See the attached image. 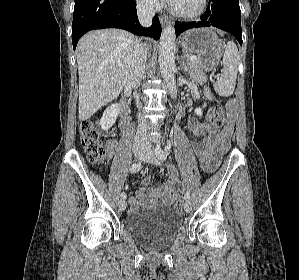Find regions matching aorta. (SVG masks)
I'll return each instance as SVG.
<instances>
[{"label": "aorta", "instance_id": "aorta-1", "mask_svg": "<svg viewBox=\"0 0 299 280\" xmlns=\"http://www.w3.org/2000/svg\"><path fill=\"white\" fill-rule=\"evenodd\" d=\"M175 29L173 26H167L161 34L159 43V67L161 75L166 82L171 96L176 98L175 70Z\"/></svg>", "mask_w": 299, "mask_h": 280}]
</instances>
